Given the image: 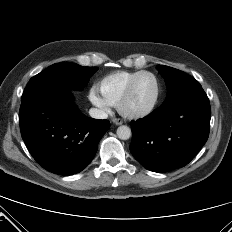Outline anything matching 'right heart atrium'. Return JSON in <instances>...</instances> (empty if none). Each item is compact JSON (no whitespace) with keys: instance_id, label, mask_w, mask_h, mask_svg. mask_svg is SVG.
Segmentation results:
<instances>
[{"instance_id":"d8ad5b80","label":"right heart atrium","mask_w":232,"mask_h":232,"mask_svg":"<svg viewBox=\"0 0 232 232\" xmlns=\"http://www.w3.org/2000/svg\"><path fill=\"white\" fill-rule=\"evenodd\" d=\"M90 102L96 106L102 113H109L111 105H109L103 97L99 95L95 88H91L88 94Z\"/></svg>"}]
</instances>
